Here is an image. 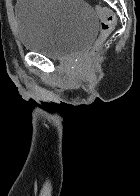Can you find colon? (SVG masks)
<instances>
[{"label": "colon", "instance_id": "obj_1", "mask_svg": "<svg viewBox=\"0 0 140 196\" xmlns=\"http://www.w3.org/2000/svg\"><path fill=\"white\" fill-rule=\"evenodd\" d=\"M95 9L100 19V35L94 46L89 50L81 62V70L83 72L89 70L95 63L103 43L116 24V16L111 9L101 5H96Z\"/></svg>", "mask_w": 140, "mask_h": 196}]
</instances>
